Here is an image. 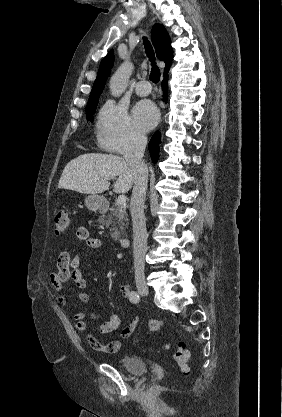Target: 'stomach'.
<instances>
[{"mask_svg": "<svg viewBox=\"0 0 282 417\" xmlns=\"http://www.w3.org/2000/svg\"><path fill=\"white\" fill-rule=\"evenodd\" d=\"M105 202H107L105 196H100V194H88L85 198V204L89 211H98V209H102Z\"/></svg>", "mask_w": 282, "mask_h": 417, "instance_id": "0dacf381", "label": "stomach"}]
</instances>
